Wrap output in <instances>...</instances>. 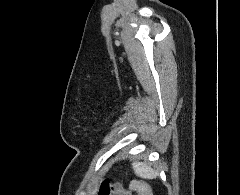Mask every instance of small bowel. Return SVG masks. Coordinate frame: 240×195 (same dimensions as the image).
<instances>
[{
    "mask_svg": "<svg viewBox=\"0 0 240 195\" xmlns=\"http://www.w3.org/2000/svg\"><path fill=\"white\" fill-rule=\"evenodd\" d=\"M122 195H152V193H149V186H129Z\"/></svg>",
    "mask_w": 240,
    "mask_h": 195,
    "instance_id": "small-bowel-1",
    "label": "small bowel"
}]
</instances>
